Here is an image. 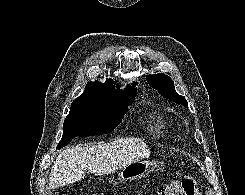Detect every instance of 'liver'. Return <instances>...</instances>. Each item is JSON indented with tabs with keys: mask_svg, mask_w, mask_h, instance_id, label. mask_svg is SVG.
I'll return each instance as SVG.
<instances>
[{
	"mask_svg": "<svg viewBox=\"0 0 245 195\" xmlns=\"http://www.w3.org/2000/svg\"><path fill=\"white\" fill-rule=\"evenodd\" d=\"M149 156L150 149L140 138H121L110 143L67 148L52 166L49 189L82 180L86 169L95 175H107Z\"/></svg>",
	"mask_w": 245,
	"mask_h": 195,
	"instance_id": "1",
	"label": "liver"
}]
</instances>
